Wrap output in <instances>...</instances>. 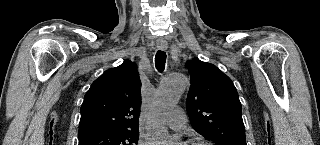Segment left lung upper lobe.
<instances>
[{
	"mask_svg": "<svg viewBox=\"0 0 320 145\" xmlns=\"http://www.w3.org/2000/svg\"><path fill=\"white\" fill-rule=\"evenodd\" d=\"M186 66L191 75L186 109L195 131L216 145H246L241 103L231 79L199 59Z\"/></svg>",
	"mask_w": 320,
	"mask_h": 145,
	"instance_id": "obj_1",
	"label": "left lung upper lobe"
}]
</instances>
